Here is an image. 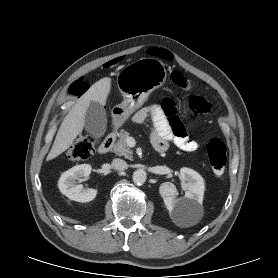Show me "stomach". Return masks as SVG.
Wrapping results in <instances>:
<instances>
[{
	"label": "stomach",
	"mask_w": 278,
	"mask_h": 278,
	"mask_svg": "<svg viewBox=\"0 0 278 278\" xmlns=\"http://www.w3.org/2000/svg\"><path fill=\"white\" fill-rule=\"evenodd\" d=\"M166 78L165 65L156 58H142L125 66L117 75L124 100L111 111L114 125L121 126L154 90L165 84Z\"/></svg>",
	"instance_id": "1"
}]
</instances>
